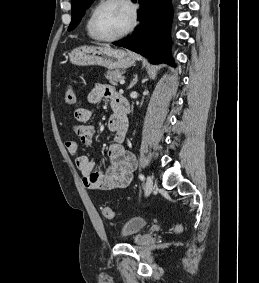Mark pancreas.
I'll list each match as a JSON object with an SVG mask.
<instances>
[{
  "mask_svg": "<svg viewBox=\"0 0 259 283\" xmlns=\"http://www.w3.org/2000/svg\"><path fill=\"white\" fill-rule=\"evenodd\" d=\"M122 70L116 69L114 71L109 70L106 72L105 77L109 80V82L113 85H117V83L121 79Z\"/></svg>",
  "mask_w": 259,
  "mask_h": 283,
  "instance_id": "obj_1",
  "label": "pancreas"
}]
</instances>
